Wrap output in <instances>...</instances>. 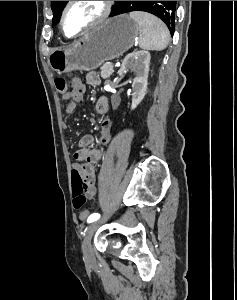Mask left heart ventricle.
<instances>
[{
  "instance_id": "b2bd125f",
  "label": "left heart ventricle",
  "mask_w": 237,
  "mask_h": 300,
  "mask_svg": "<svg viewBox=\"0 0 237 300\" xmlns=\"http://www.w3.org/2000/svg\"><path fill=\"white\" fill-rule=\"evenodd\" d=\"M101 12L100 1H77L68 11L65 31L68 35L77 34L93 21Z\"/></svg>"
}]
</instances>
